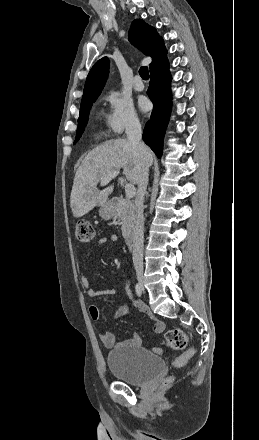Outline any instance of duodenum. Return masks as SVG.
Segmentation results:
<instances>
[{
	"instance_id": "410a0bca",
	"label": "duodenum",
	"mask_w": 259,
	"mask_h": 440,
	"mask_svg": "<svg viewBox=\"0 0 259 440\" xmlns=\"http://www.w3.org/2000/svg\"><path fill=\"white\" fill-rule=\"evenodd\" d=\"M125 242L128 247L133 246V234L131 232L125 234Z\"/></svg>"
}]
</instances>
